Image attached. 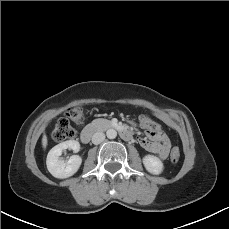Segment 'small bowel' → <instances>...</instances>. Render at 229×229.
Listing matches in <instances>:
<instances>
[{
  "instance_id": "1",
  "label": "small bowel",
  "mask_w": 229,
  "mask_h": 229,
  "mask_svg": "<svg viewBox=\"0 0 229 229\" xmlns=\"http://www.w3.org/2000/svg\"><path fill=\"white\" fill-rule=\"evenodd\" d=\"M141 125L147 129V134L138 138L139 144L148 152L156 154L160 159H166L170 150V141L161 131L160 126L147 116L140 117ZM151 124V126H147Z\"/></svg>"
}]
</instances>
